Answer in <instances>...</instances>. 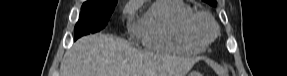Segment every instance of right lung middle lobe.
<instances>
[{"instance_id": "right-lung-middle-lobe-1", "label": "right lung middle lobe", "mask_w": 287, "mask_h": 76, "mask_svg": "<svg viewBox=\"0 0 287 76\" xmlns=\"http://www.w3.org/2000/svg\"><path fill=\"white\" fill-rule=\"evenodd\" d=\"M116 4L117 0L84 2L79 20L74 28V39L102 30L107 25Z\"/></svg>"}]
</instances>
